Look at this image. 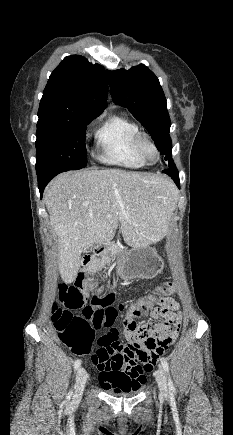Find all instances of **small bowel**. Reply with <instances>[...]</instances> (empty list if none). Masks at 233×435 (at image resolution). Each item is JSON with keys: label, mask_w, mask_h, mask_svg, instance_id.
<instances>
[{"label": "small bowel", "mask_w": 233, "mask_h": 435, "mask_svg": "<svg viewBox=\"0 0 233 435\" xmlns=\"http://www.w3.org/2000/svg\"><path fill=\"white\" fill-rule=\"evenodd\" d=\"M173 290H176V286H171ZM95 292L99 295L103 294H114L116 291V284L114 282H108L107 284H98L95 288ZM82 294L85 298L89 297V292L87 290L83 291ZM156 301L160 305L159 314L155 315L154 319L149 321L148 324L156 327L158 330H162L164 323L159 322V319H164L170 327L175 328L177 333L181 322V313L179 311V304L171 296H160L156 298ZM134 305V303L129 306ZM116 320L110 325V330L103 334L102 337L105 339H110L113 344L118 340L119 334L116 329L113 328ZM98 372L99 382L103 389L117 388L115 376L119 374H124L129 381L130 385L139 384L145 379L146 371L143 366L135 365L131 367H126L124 363V358L121 354H113L106 362H100L94 364Z\"/></svg>", "instance_id": "small-bowel-1"}]
</instances>
